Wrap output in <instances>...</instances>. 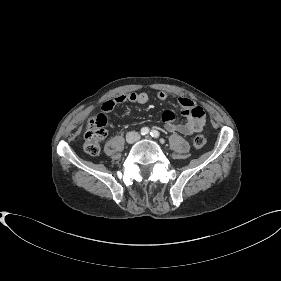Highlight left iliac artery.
I'll use <instances>...</instances> for the list:
<instances>
[{"instance_id":"1","label":"left iliac artery","mask_w":281,"mask_h":281,"mask_svg":"<svg viewBox=\"0 0 281 281\" xmlns=\"http://www.w3.org/2000/svg\"><path fill=\"white\" fill-rule=\"evenodd\" d=\"M150 135L154 138H158L160 136V133L157 130H152L150 132Z\"/></svg>"}]
</instances>
